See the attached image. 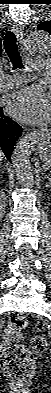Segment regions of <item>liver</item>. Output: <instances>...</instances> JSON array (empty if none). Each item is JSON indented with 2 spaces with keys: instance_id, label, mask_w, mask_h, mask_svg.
Wrapping results in <instances>:
<instances>
[{
  "instance_id": "obj_1",
  "label": "liver",
  "mask_w": 51,
  "mask_h": 393,
  "mask_svg": "<svg viewBox=\"0 0 51 393\" xmlns=\"http://www.w3.org/2000/svg\"><path fill=\"white\" fill-rule=\"evenodd\" d=\"M2 158H3V154L1 153V155H0V159L2 160Z\"/></svg>"
}]
</instances>
